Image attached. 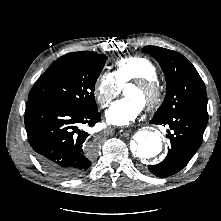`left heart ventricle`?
Listing matches in <instances>:
<instances>
[{
	"mask_svg": "<svg viewBox=\"0 0 221 221\" xmlns=\"http://www.w3.org/2000/svg\"><path fill=\"white\" fill-rule=\"evenodd\" d=\"M125 94L128 97H132V98L139 100L142 104L144 103L146 99L145 92L133 85H129L125 88Z\"/></svg>",
	"mask_w": 221,
	"mask_h": 221,
	"instance_id": "b2bd125f",
	"label": "left heart ventricle"
}]
</instances>
